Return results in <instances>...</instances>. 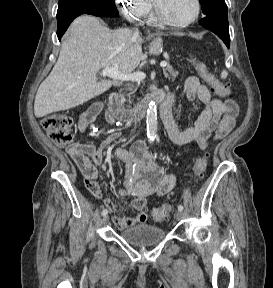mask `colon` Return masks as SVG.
<instances>
[{
    "label": "colon",
    "mask_w": 273,
    "mask_h": 288,
    "mask_svg": "<svg viewBox=\"0 0 273 288\" xmlns=\"http://www.w3.org/2000/svg\"><path fill=\"white\" fill-rule=\"evenodd\" d=\"M191 61L216 95L221 97H227L230 95V88L222 84L202 63L196 61L194 58H191ZM41 124L51 141L56 146L67 147L72 143L73 135L71 129L73 122L70 116L66 114H51L44 117ZM208 158L209 155L204 154L195 161L193 166V177L195 180L203 178L207 169ZM170 213L171 207L164 204L153 209L152 217L155 221L162 222L169 218Z\"/></svg>",
    "instance_id": "obj_1"
}]
</instances>
